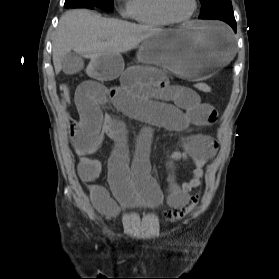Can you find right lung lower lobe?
<instances>
[{
	"instance_id": "98d812e1",
	"label": "right lung lower lobe",
	"mask_w": 279,
	"mask_h": 279,
	"mask_svg": "<svg viewBox=\"0 0 279 279\" xmlns=\"http://www.w3.org/2000/svg\"><path fill=\"white\" fill-rule=\"evenodd\" d=\"M65 7H69V8H94L93 5H91L87 2H84V1H80V0H75V1L65 3Z\"/></svg>"
}]
</instances>
